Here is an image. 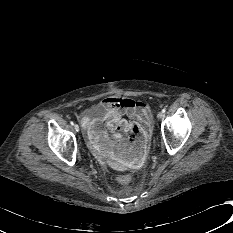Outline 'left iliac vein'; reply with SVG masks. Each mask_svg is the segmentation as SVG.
Segmentation results:
<instances>
[{"label": "left iliac vein", "instance_id": "obj_1", "mask_svg": "<svg viewBox=\"0 0 233 233\" xmlns=\"http://www.w3.org/2000/svg\"><path fill=\"white\" fill-rule=\"evenodd\" d=\"M162 117H163V113H162V112H158L157 118H158V119H161Z\"/></svg>", "mask_w": 233, "mask_h": 233}]
</instances>
